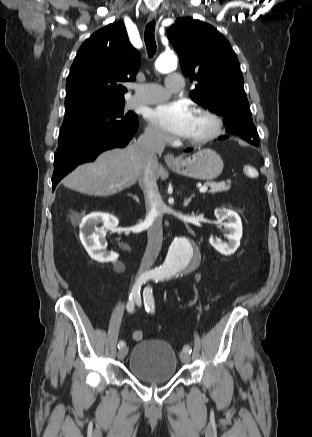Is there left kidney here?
<instances>
[{
    "label": "left kidney",
    "instance_id": "5707ae66",
    "mask_svg": "<svg viewBox=\"0 0 312 437\" xmlns=\"http://www.w3.org/2000/svg\"><path fill=\"white\" fill-rule=\"evenodd\" d=\"M218 222L224 226L227 242H222L210 237V244L221 254L231 255L240 246L242 237V222L240 216L232 210L218 208L214 212Z\"/></svg>",
    "mask_w": 312,
    "mask_h": 437
}]
</instances>
